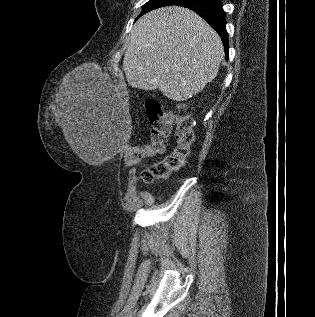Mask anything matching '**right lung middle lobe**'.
Here are the masks:
<instances>
[{"mask_svg":"<svg viewBox=\"0 0 315 317\" xmlns=\"http://www.w3.org/2000/svg\"><path fill=\"white\" fill-rule=\"evenodd\" d=\"M179 0H149L143 7H142V14L147 13L153 9L173 5Z\"/></svg>","mask_w":315,"mask_h":317,"instance_id":"dd1d6c3e","label":"right lung middle lobe"}]
</instances>
